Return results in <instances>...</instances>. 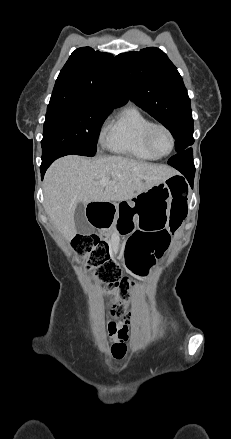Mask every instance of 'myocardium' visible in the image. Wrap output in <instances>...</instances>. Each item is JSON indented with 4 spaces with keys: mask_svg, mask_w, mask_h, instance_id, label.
<instances>
[{
    "mask_svg": "<svg viewBox=\"0 0 231 439\" xmlns=\"http://www.w3.org/2000/svg\"><path fill=\"white\" fill-rule=\"evenodd\" d=\"M156 129H162V130H164V131L168 134V136H169V138H170V149H169L168 152H166V153H164V154H160V153H158V152L155 150L154 145H153L152 136H153V133H154V131H155ZM145 142H146V145H147L148 149H149V150H150V151H151V152H152L157 158H164V157H167L168 155H170V154L174 151V149H175V147H176V138H175V135H174L172 129H171L168 125H166V124H164V123H161V122H152V123L149 125V127L147 128L146 133H145Z\"/></svg>",
    "mask_w": 231,
    "mask_h": 439,
    "instance_id": "obj_1",
    "label": "myocardium"
}]
</instances>
